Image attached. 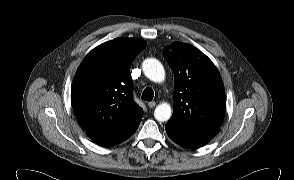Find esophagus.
Masks as SVG:
<instances>
[{"instance_id":"obj_1","label":"esophagus","mask_w":294,"mask_h":180,"mask_svg":"<svg viewBox=\"0 0 294 180\" xmlns=\"http://www.w3.org/2000/svg\"><path fill=\"white\" fill-rule=\"evenodd\" d=\"M148 107L149 108H154L156 106V102L155 101H151V102H148Z\"/></svg>"}]
</instances>
